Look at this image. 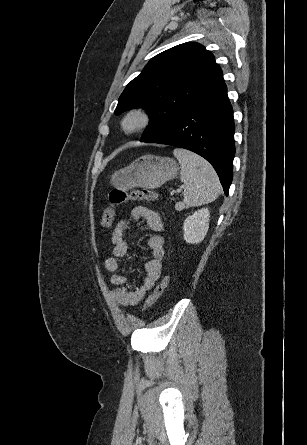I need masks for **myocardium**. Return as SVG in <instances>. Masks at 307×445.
I'll list each match as a JSON object with an SVG mask.
<instances>
[{
	"instance_id": "f54148a6",
	"label": "myocardium",
	"mask_w": 307,
	"mask_h": 445,
	"mask_svg": "<svg viewBox=\"0 0 307 445\" xmlns=\"http://www.w3.org/2000/svg\"><path fill=\"white\" fill-rule=\"evenodd\" d=\"M133 114L140 115L142 118V123L134 131L127 132L124 130V123H125L126 119ZM154 121H155V114H154V111L150 107H148L146 105H136V106L129 108L124 113V115L121 119V123H120L121 131L125 135H135L141 131H144V130L150 128L153 125Z\"/></svg>"
}]
</instances>
